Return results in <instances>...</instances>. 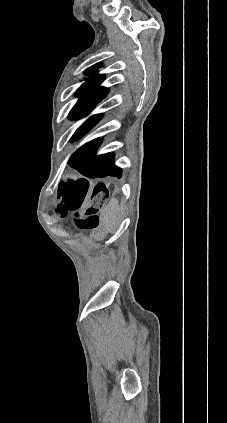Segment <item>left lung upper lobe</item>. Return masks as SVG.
<instances>
[{"label":"left lung upper lobe","instance_id":"left-lung-upper-lobe-1","mask_svg":"<svg viewBox=\"0 0 227 423\" xmlns=\"http://www.w3.org/2000/svg\"><path fill=\"white\" fill-rule=\"evenodd\" d=\"M85 74L91 78L83 83L81 90L77 92L76 95L82 94V96L70 111L68 116L69 119H78L89 114L96 106V104L102 100L108 92V89L99 86L100 82L105 78L104 75H97L95 70H88L85 72ZM100 118V114L90 117L77 131L90 123L99 121Z\"/></svg>","mask_w":227,"mask_h":423}]
</instances>
